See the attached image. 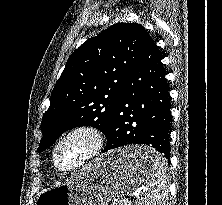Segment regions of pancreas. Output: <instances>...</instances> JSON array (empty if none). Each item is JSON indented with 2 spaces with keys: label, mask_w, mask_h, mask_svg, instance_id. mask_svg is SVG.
<instances>
[{
  "label": "pancreas",
  "mask_w": 222,
  "mask_h": 205,
  "mask_svg": "<svg viewBox=\"0 0 222 205\" xmlns=\"http://www.w3.org/2000/svg\"><path fill=\"white\" fill-rule=\"evenodd\" d=\"M112 205H130V203L125 202L124 200H117V201H114Z\"/></svg>",
  "instance_id": "cf45deb5"
}]
</instances>
